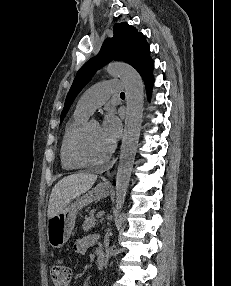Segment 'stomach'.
<instances>
[{
    "instance_id": "1",
    "label": "stomach",
    "mask_w": 231,
    "mask_h": 286,
    "mask_svg": "<svg viewBox=\"0 0 231 286\" xmlns=\"http://www.w3.org/2000/svg\"><path fill=\"white\" fill-rule=\"evenodd\" d=\"M111 192L109 185L99 183L88 192L78 196L60 213L48 219L47 239L53 248H61L69 240L78 212L90 203L106 198Z\"/></svg>"
}]
</instances>
